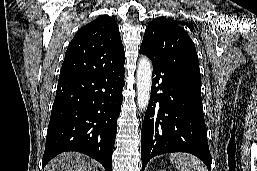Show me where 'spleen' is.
<instances>
[{
  "mask_svg": "<svg viewBox=\"0 0 257 171\" xmlns=\"http://www.w3.org/2000/svg\"><path fill=\"white\" fill-rule=\"evenodd\" d=\"M170 160L178 171H208L197 157L190 154H172Z\"/></svg>",
  "mask_w": 257,
  "mask_h": 171,
  "instance_id": "spleen-1",
  "label": "spleen"
}]
</instances>
